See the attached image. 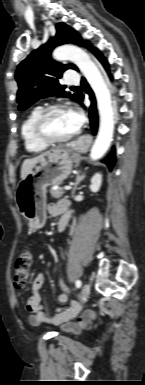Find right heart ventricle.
Listing matches in <instances>:
<instances>
[{"label": "right heart ventricle", "mask_w": 145, "mask_h": 385, "mask_svg": "<svg viewBox=\"0 0 145 385\" xmlns=\"http://www.w3.org/2000/svg\"><path fill=\"white\" fill-rule=\"evenodd\" d=\"M41 110V107L33 108L27 114L21 125V138L26 151L30 153H39L47 147L46 144L40 142L33 134V124Z\"/></svg>", "instance_id": "obj_1"}]
</instances>
